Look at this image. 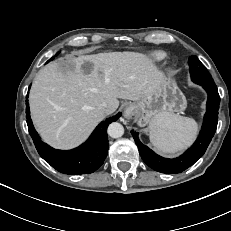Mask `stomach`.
<instances>
[{
	"mask_svg": "<svg viewBox=\"0 0 231 231\" xmlns=\"http://www.w3.org/2000/svg\"><path fill=\"white\" fill-rule=\"evenodd\" d=\"M133 106L136 110V121L142 126L162 113L184 110L186 100L175 81L165 78V81L155 93L134 103Z\"/></svg>",
	"mask_w": 231,
	"mask_h": 231,
	"instance_id": "stomach-1",
	"label": "stomach"
}]
</instances>
